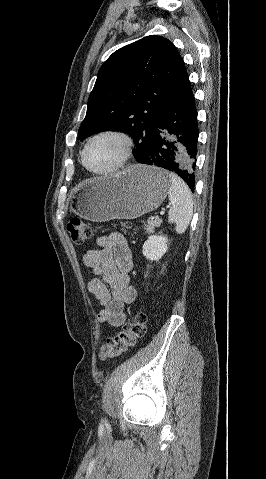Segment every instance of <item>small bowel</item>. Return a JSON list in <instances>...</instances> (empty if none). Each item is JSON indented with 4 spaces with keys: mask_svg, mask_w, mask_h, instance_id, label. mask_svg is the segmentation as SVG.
<instances>
[{
    "mask_svg": "<svg viewBox=\"0 0 266 479\" xmlns=\"http://www.w3.org/2000/svg\"><path fill=\"white\" fill-rule=\"evenodd\" d=\"M95 243L96 247L87 250L82 259L93 275L101 279L90 280L88 290L102 307L97 321L119 327L126 320L125 305L137 296V290L130 285L132 253L119 232L98 236Z\"/></svg>",
    "mask_w": 266,
    "mask_h": 479,
    "instance_id": "c3829d8e",
    "label": "small bowel"
}]
</instances>
